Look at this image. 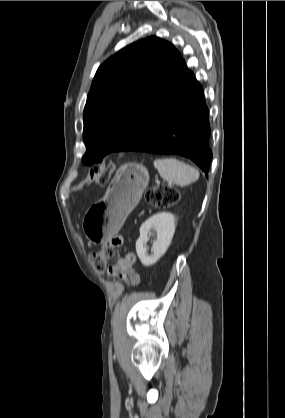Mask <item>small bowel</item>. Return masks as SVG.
<instances>
[{
    "instance_id": "c3829d8e",
    "label": "small bowel",
    "mask_w": 285,
    "mask_h": 418,
    "mask_svg": "<svg viewBox=\"0 0 285 418\" xmlns=\"http://www.w3.org/2000/svg\"><path fill=\"white\" fill-rule=\"evenodd\" d=\"M112 244L118 245L121 243V237H115L112 241ZM134 256L136 260V256L134 254H130ZM122 258L118 261L117 264H114L108 268L109 274L113 276H119L125 279L131 285H137L140 282V278L138 274L128 268L129 265L133 264L129 261V256ZM135 262V261H134Z\"/></svg>"
}]
</instances>
